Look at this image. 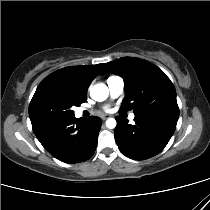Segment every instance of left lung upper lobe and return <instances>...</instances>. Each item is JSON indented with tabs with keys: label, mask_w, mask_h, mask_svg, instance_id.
Wrapping results in <instances>:
<instances>
[{
	"label": "left lung upper lobe",
	"mask_w": 210,
	"mask_h": 210,
	"mask_svg": "<svg viewBox=\"0 0 210 210\" xmlns=\"http://www.w3.org/2000/svg\"><path fill=\"white\" fill-rule=\"evenodd\" d=\"M101 75L114 73L124 79L121 110L134 109L135 117L162 116L178 119L175 88L156 65L139 58L123 57L104 63Z\"/></svg>",
	"instance_id": "obj_1"
}]
</instances>
